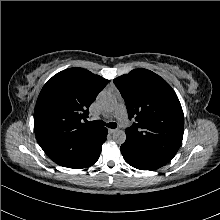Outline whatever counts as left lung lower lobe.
Masks as SVG:
<instances>
[{
	"label": "left lung lower lobe",
	"mask_w": 220,
	"mask_h": 220,
	"mask_svg": "<svg viewBox=\"0 0 220 220\" xmlns=\"http://www.w3.org/2000/svg\"><path fill=\"white\" fill-rule=\"evenodd\" d=\"M120 150L125 161L132 167L140 170L158 169L172 159L145 146L134 143L127 138L121 145Z\"/></svg>",
	"instance_id": "0a47b994"
}]
</instances>
